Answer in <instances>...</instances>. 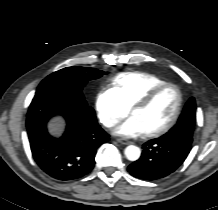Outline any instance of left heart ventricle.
Wrapping results in <instances>:
<instances>
[{
    "label": "left heart ventricle",
    "mask_w": 218,
    "mask_h": 210,
    "mask_svg": "<svg viewBox=\"0 0 218 210\" xmlns=\"http://www.w3.org/2000/svg\"><path fill=\"white\" fill-rule=\"evenodd\" d=\"M177 93L172 87L163 90L147 107L137 108L132 115L136 116L145 133L164 126L172 117L177 105Z\"/></svg>",
    "instance_id": "left-heart-ventricle-1"
}]
</instances>
